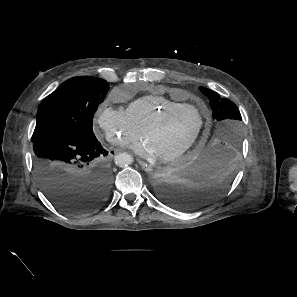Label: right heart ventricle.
I'll return each mask as SVG.
<instances>
[{
  "label": "right heart ventricle",
  "instance_id": "obj_1",
  "mask_svg": "<svg viewBox=\"0 0 297 297\" xmlns=\"http://www.w3.org/2000/svg\"><path fill=\"white\" fill-rule=\"evenodd\" d=\"M184 104L180 101L171 100L163 95H146L140 97L131 103L126 108V113L131 121L142 130L147 122L159 111L168 107Z\"/></svg>",
  "mask_w": 297,
  "mask_h": 297
}]
</instances>
